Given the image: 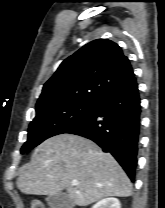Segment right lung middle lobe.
<instances>
[{
	"mask_svg": "<svg viewBox=\"0 0 165 208\" xmlns=\"http://www.w3.org/2000/svg\"><path fill=\"white\" fill-rule=\"evenodd\" d=\"M97 102H62L36 109V117L29 125L28 140L21 153L28 152L52 136L67 133L80 124Z\"/></svg>",
	"mask_w": 165,
	"mask_h": 208,
	"instance_id": "obj_1",
	"label": "right lung middle lobe"
}]
</instances>
